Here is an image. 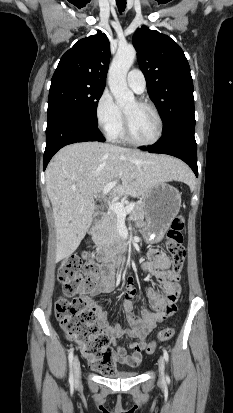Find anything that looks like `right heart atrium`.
<instances>
[{
    "label": "right heart atrium",
    "instance_id": "right-heart-atrium-1",
    "mask_svg": "<svg viewBox=\"0 0 233 413\" xmlns=\"http://www.w3.org/2000/svg\"><path fill=\"white\" fill-rule=\"evenodd\" d=\"M95 118L98 127L108 138H111L122 126V111L107 90L100 94L95 103Z\"/></svg>",
    "mask_w": 233,
    "mask_h": 413
}]
</instances>
